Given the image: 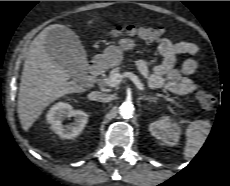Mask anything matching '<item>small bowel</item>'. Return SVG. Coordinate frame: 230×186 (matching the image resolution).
<instances>
[{"instance_id": "c3829d8e", "label": "small bowel", "mask_w": 230, "mask_h": 186, "mask_svg": "<svg viewBox=\"0 0 230 186\" xmlns=\"http://www.w3.org/2000/svg\"><path fill=\"white\" fill-rule=\"evenodd\" d=\"M162 60L155 66L145 60L137 62L140 74L152 88H164L177 95H188L196 89L195 82L189 77L197 69L195 59H186L180 68L175 66L176 56L179 54L196 55L199 48L188 41L173 42L167 38L158 44Z\"/></svg>"}]
</instances>
